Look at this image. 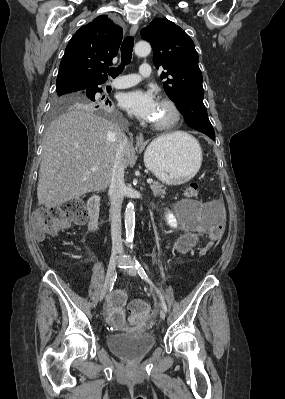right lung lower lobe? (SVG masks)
Returning <instances> with one entry per match:
<instances>
[{
  "instance_id": "right-lung-lower-lobe-1",
  "label": "right lung lower lobe",
  "mask_w": 285,
  "mask_h": 399,
  "mask_svg": "<svg viewBox=\"0 0 285 399\" xmlns=\"http://www.w3.org/2000/svg\"><path fill=\"white\" fill-rule=\"evenodd\" d=\"M102 83H104V81H103V82H98V83H94V82H93V83H90V84H88L86 87H84L83 90L86 91V92H88V93H97V92H100L101 89L98 88V85H99V84H102Z\"/></svg>"
}]
</instances>
